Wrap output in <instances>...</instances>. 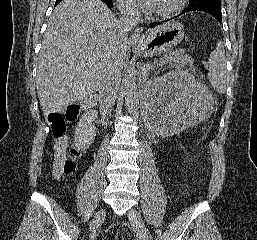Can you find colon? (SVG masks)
Returning <instances> with one entry per match:
<instances>
[{
    "label": "colon",
    "mask_w": 257,
    "mask_h": 240,
    "mask_svg": "<svg viewBox=\"0 0 257 240\" xmlns=\"http://www.w3.org/2000/svg\"><path fill=\"white\" fill-rule=\"evenodd\" d=\"M78 114L77 106H71L65 114L51 113L48 116V123L51 127L52 134L55 138H61L66 132L67 122L73 121ZM75 150L71 151V156L75 155ZM76 168V164L72 158L67 159L66 156L56 157L54 162V170L57 175L70 174Z\"/></svg>",
    "instance_id": "1"
}]
</instances>
